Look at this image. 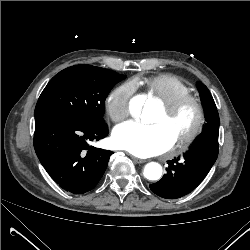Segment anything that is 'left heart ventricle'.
I'll list each match as a JSON object with an SVG mask.
<instances>
[{"label": "left heart ventricle", "instance_id": "1", "mask_svg": "<svg viewBox=\"0 0 250 250\" xmlns=\"http://www.w3.org/2000/svg\"><path fill=\"white\" fill-rule=\"evenodd\" d=\"M194 121L195 111L193 107L187 106L171 118L165 116L162 108L152 122L163 125L175 140L177 137L185 134L192 127Z\"/></svg>", "mask_w": 250, "mask_h": 250}]
</instances>
